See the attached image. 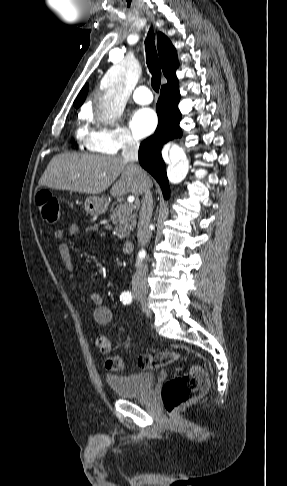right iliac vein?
I'll return each mask as SVG.
<instances>
[{
  "instance_id": "obj_1",
  "label": "right iliac vein",
  "mask_w": 287,
  "mask_h": 486,
  "mask_svg": "<svg viewBox=\"0 0 287 486\" xmlns=\"http://www.w3.org/2000/svg\"><path fill=\"white\" fill-rule=\"evenodd\" d=\"M134 294H135L136 298L141 301L143 307L147 311V314L151 316L150 311L147 309V296H146V292L140 290V291H136Z\"/></svg>"
}]
</instances>
